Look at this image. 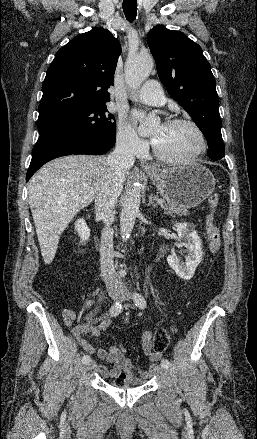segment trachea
Instances as JSON below:
<instances>
[{"mask_svg":"<svg viewBox=\"0 0 257 439\" xmlns=\"http://www.w3.org/2000/svg\"><path fill=\"white\" fill-rule=\"evenodd\" d=\"M122 6L126 19L133 22L137 13V0H123Z\"/></svg>","mask_w":257,"mask_h":439,"instance_id":"3493384b","label":"trachea"}]
</instances>
